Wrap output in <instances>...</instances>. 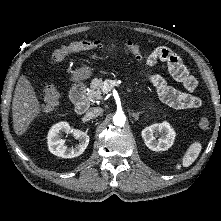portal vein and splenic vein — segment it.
Listing matches in <instances>:
<instances>
[{
  "mask_svg": "<svg viewBox=\"0 0 221 221\" xmlns=\"http://www.w3.org/2000/svg\"><path fill=\"white\" fill-rule=\"evenodd\" d=\"M114 86H116V82L112 81V80H109V81L104 83L103 90L105 92H109L112 88H114Z\"/></svg>",
  "mask_w": 221,
  "mask_h": 221,
  "instance_id": "obj_1",
  "label": "portal vein and splenic vein"
}]
</instances>
